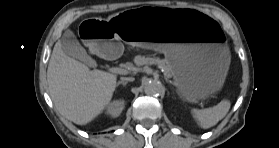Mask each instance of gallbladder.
I'll return each instance as SVG.
<instances>
[{"instance_id": "bac80fb5", "label": "gallbladder", "mask_w": 279, "mask_h": 148, "mask_svg": "<svg viewBox=\"0 0 279 148\" xmlns=\"http://www.w3.org/2000/svg\"><path fill=\"white\" fill-rule=\"evenodd\" d=\"M59 43L66 55L83 62H88L91 59L71 30H66L64 32Z\"/></svg>"}]
</instances>
